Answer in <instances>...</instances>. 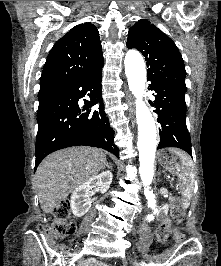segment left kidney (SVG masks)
Here are the masks:
<instances>
[{"instance_id":"obj_1","label":"left kidney","mask_w":221,"mask_h":266,"mask_svg":"<svg viewBox=\"0 0 221 266\" xmlns=\"http://www.w3.org/2000/svg\"><path fill=\"white\" fill-rule=\"evenodd\" d=\"M169 206L166 204L162 207L161 213L164 215L168 214Z\"/></svg>"}]
</instances>
